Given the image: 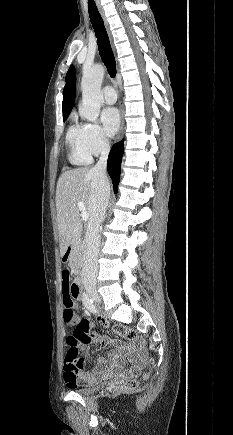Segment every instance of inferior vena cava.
<instances>
[{"instance_id": "1", "label": "inferior vena cava", "mask_w": 233, "mask_h": 435, "mask_svg": "<svg viewBox=\"0 0 233 435\" xmlns=\"http://www.w3.org/2000/svg\"><path fill=\"white\" fill-rule=\"evenodd\" d=\"M110 144L104 139L101 144V156L97 164L91 169L93 179L89 200L90 218L88 221L86 239V256L82 270V282L85 289L94 287L98 274V254L101 244L100 226L105 219L106 208L110 196V183L106 175L107 158Z\"/></svg>"}]
</instances>
